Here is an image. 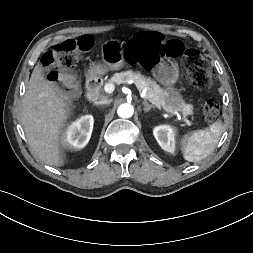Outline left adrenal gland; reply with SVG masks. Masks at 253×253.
Wrapping results in <instances>:
<instances>
[{
	"label": "left adrenal gland",
	"instance_id": "a2214340",
	"mask_svg": "<svg viewBox=\"0 0 253 253\" xmlns=\"http://www.w3.org/2000/svg\"><path fill=\"white\" fill-rule=\"evenodd\" d=\"M143 105L145 106L144 111L149 112L151 109H154L153 105H150L146 100L143 101Z\"/></svg>",
	"mask_w": 253,
	"mask_h": 253
}]
</instances>
